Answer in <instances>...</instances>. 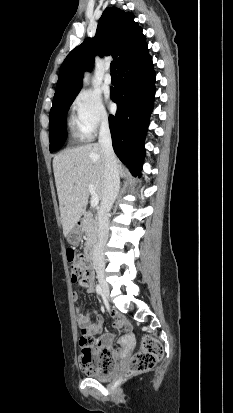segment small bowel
Here are the masks:
<instances>
[{"mask_svg": "<svg viewBox=\"0 0 233 413\" xmlns=\"http://www.w3.org/2000/svg\"><path fill=\"white\" fill-rule=\"evenodd\" d=\"M78 288L79 289H84L88 293H92L94 291V284H93V275H91L79 281L78 283ZM73 300L77 302L79 300V295L78 293L73 294ZM75 313H76V320L78 323V326L82 332L83 335L87 336H96L97 337V346L99 348H110V343L114 339V333H103V324H104V318L102 315L94 313L95 319H91V315L87 314L84 312L83 308L81 306H76L75 308ZM115 316V322H114V327L115 328H125L129 329V323L128 321L115 314L112 313ZM122 351H117L114 352L115 357L120 355Z\"/></svg>", "mask_w": 233, "mask_h": 413, "instance_id": "c3829d8e", "label": "small bowel"}]
</instances>
